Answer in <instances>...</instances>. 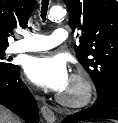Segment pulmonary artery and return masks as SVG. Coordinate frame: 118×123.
Returning a JSON list of instances; mask_svg holds the SVG:
<instances>
[{
  "label": "pulmonary artery",
  "instance_id": "e3ab8cb5",
  "mask_svg": "<svg viewBox=\"0 0 118 123\" xmlns=\"http://www.w3.org/2000/svg\"><path fill=\"white\" fill-rule=\"evenodd\" d=\"M68 38L65 28H56L49 36L36 33H25L22 40L17 41L11 46V52H34L44 51L64 42Z\"/></svg>",
  "mask_w": 118,
  "mask_h": 123
}]
</instances>
